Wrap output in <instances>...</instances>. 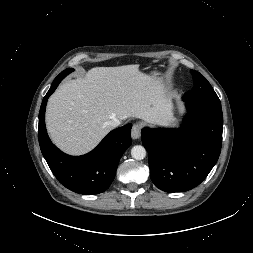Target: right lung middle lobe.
Instances as JSON below:
<instances>
[{
    "label": "right lung middle lobe",
    "mask_w": 253,
    "mask_h": 253,
    "mask_svg": "<svg viewBox=\"0 0 253 253\" xmlns=\"http://www.w3.org/2000/svg\"><path fill=\"white\" fill-rule=\"evenodd\" d=\"M72 71H73V69L68 68V69L64 70L63 72H61L56 78L63 79L66 75H68Z\"/></svg>",
    "instance_id": "1"
}]
</instances>
